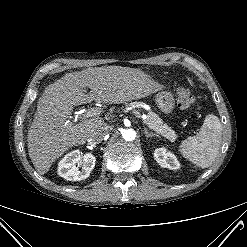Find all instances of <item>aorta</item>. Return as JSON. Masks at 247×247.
Returning a JSON list of instances; mask_svg holds the SVG:
<instances>
[{
    "label": "aorta",
    "instance_id": "1",
    "mask_svg": "<svg viewBox=\"0 0 247 247\" xmlns=\"http://www.w3.org/2000/svg\"><path fill=\"white\" fill-rule=\"evenodd\" d=\"M122 137L126 141H133L136 138V132L133 129H125L122 132Z\"/></svg>",
    "mask_w": 247,
    "mask_h": 247
}]
</instances>
